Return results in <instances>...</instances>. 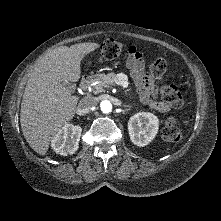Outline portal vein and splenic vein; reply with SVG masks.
I'll return each mask as SVG.
<instances>
[{
    "label": "portal vein and splenic vein",
    "mask_w": 221,
    "mask_h": 221,
    "mask_svg": "<svg viewBox=\"0 0 221 221\" xmlns=\"http://www.w3.org/2000/svg\"><path fill=\"white\" fill-rule=\"evenodd\" d=\"M117 84L122 85L123 87H128V82L124 80L118 81Z\"/></svg>",
    "instance_id": "obj_1"
}]
</instances>
